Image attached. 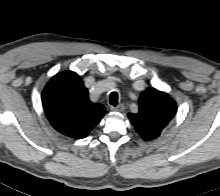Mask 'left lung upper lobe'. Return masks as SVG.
<instances>
[{
  "instance_id": "obj_1",
  "label": "left lung upper lobe",
  "mask_w": 220,
  "mask_h": 196,
  "mask_svg": "<svg viewBox=\"0 0 220 196\" xmlns=\"http://www.w3.org/2000/svg\"><path fill=\"white\" fill-rule=\"evenodd\" d=\"M176 103L170 96L155 88H148L139 98V112L128 114L137 133L146 141L160 136L176 114Z\"/></svg>"
}]
</instances>
